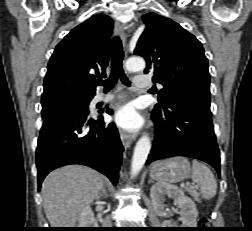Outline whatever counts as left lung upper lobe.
Instances as JSON below:
<instances>
[{"mask_svg": "<svg viewBox=\"0 0 252 231\" xmlns=\"http://www.w3.org/2000/svg\"><path fill=\"white\" fill-rule=\"evenodd\" d=\"M145 30L135 55L146 59L145 73L163 85L155 110L165 107L174 95L198 92L210 97L208 60L202 44L178 23L156 13L143 16Z\"/></svg>", "mask_w": 252, "mask_h": 231, "instance_id": "1", "label": "left lung upper lobe"}]
</instances>
